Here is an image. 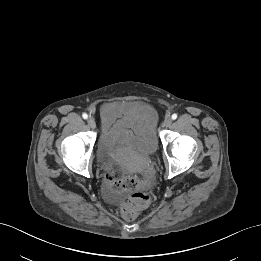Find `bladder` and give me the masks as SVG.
<instances>
[{
  "instance_id": "1",
  "label": "bladder",
  "mask_w": 261,
  "mask_h": 261,
  "mask_svg": "<svg viewBox=\"0 0 261 261\" xmlns=\"http://www.w3.org/2000/svg\"><path fill=\"white\" fill-rule=\"evenodd\" d=\"M99 148L109 158L125 163L133 155H153L157 150V140L150 130H118L110 136L104 134Z\"/></svg>"
}]
</instances>
